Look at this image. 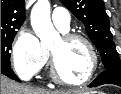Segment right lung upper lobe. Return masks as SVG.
Here are the masks:
<instances>
[{"instance_id": "cb5924a9", "label": "right lung upper lobe", "mask_w": 121, "mask_h": 94, "mask_svg": "<svg viewBox=\"0 0 121 94\" xmlns=\"http://www.w3.org/2000/svg\"><path fill=\"white\" fill-rule=\"evenodd\" d=\"M24 0H1V33L19 29L25 19Z\"/></svg>"}]
</instances>
